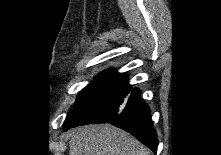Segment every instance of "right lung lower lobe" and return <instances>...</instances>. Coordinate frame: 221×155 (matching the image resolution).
Segmentation results:
<instances>
[{
	"label": "right lung lower lobe",
	"mask_w": 221,
	"mask_h": 155,
	"mask_svg": "<svg viewBox=\"0 0 221 155\" xmlns=\"http://www.w3.org/2000/svg\"><path fill=\"white\" fill-rule=\"evenodd\" d=\"M127 80V74L114 72L93 110L76 126L111 123L129 132L156 153L158 139L150 108L140 99V90L133 89Z\"/></svg>",
	"instance_id": "obj_1"
}]
</instances>
